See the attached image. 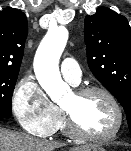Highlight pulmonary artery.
<instances>
[{"mask_svg":"<svg viewBox=\"0 0 131 151\" xmlns=\"http://www.w3.org/2000/svg\"><path fill=\"white\" fill-rule=\"evenodd\" d=\"M61 74L65 80L73 85H77L81 80V69L73 58H65L60 66Z\"/></svg>","mask_w":131,"mask_h":151,"instance_id":"obj_1","label":"pulmonary artery"}]
</instances>
